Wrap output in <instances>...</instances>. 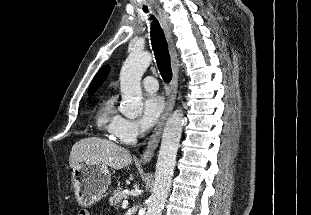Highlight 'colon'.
<instances>
[{
	"label": "colon",
	"mask_w": 311,
	"mask_h": 215,
	"mask_svg": "<svg viewBox=\"0 0 311 215\" xmlns=\"http://www.w3.org/2000/svg\"><path fill=\"white\" fill-rule=\"evenodd\" d=\"M78 215H89V213L85 210L79 211Z\"/></svg>",
	"instance_id": "colon-1"
}]
</instances>
